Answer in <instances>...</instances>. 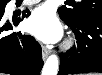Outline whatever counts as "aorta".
I'll list each match as a JSON object with an SVG mask.
<instances>
[{"mask_svg":"<svg viewBox=\"0 0 102 75\" xmlns=\"http://www.w3.org/2000/svg\"><path fill=\"white\" fill-rule=\"evenodd\" d=\"M58 66V57L55 54L50 55L43 66L41 75H57Z\"/></svg>","mask_w":102,"mask_h":75,"instance_id":"762f6f07","label":"aorta"}]
</instances>
